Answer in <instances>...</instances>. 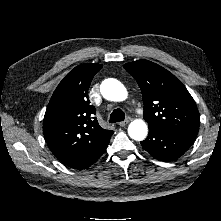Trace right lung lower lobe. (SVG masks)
<instances>
[{"label":"right lung lower lobe","mask_w":221,"mask_h":221,"mask_svg":"<svg viewBox=\"0 0 221 221\" xmlns=\"http://www.w3.org/2000/svg\"><path fill=\"white\" fill-rule=\"evenodd\" d=\"M108 145V144H107ZM106 146H104L102 149H100L98 152H96L95 154L91 155L90 157H88L87 159L71 166V168L73 169H85L88 168L89 166H91L99 157H101V155L105 152L106 150Z\"/></svg>","instance_id":"right-lung-lower-lobe-1"}]
</instances>
